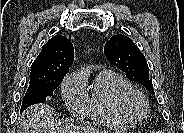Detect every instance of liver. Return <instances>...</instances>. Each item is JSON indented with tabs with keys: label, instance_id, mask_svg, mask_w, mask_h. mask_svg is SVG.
Segmentation results:
<instances>
[{
	"label": "liver",
	"instance_id": "1",
	"mask_svg": "<svg viewBox=\"0 0 184 133\" xmlns=\"http://www.w3.org/2000/svg\"><path fill=\"white\" fill-rule=\"evenodd\" d=\"M20 133H106L88 127H57L54 122L53 108L47 104L29 107L21 116Z\"/></svg>",
	"mask_w": 184,
	"mask_h": 133
}]
</instances>
